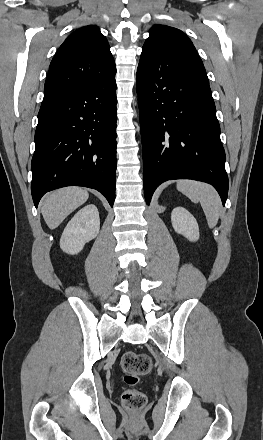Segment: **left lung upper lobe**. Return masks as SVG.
Instances as JSON below:
<instances>
[{"mask_svg": "<svg viewBox=\"0 0 263 440\" xmlns=\"http://www.w3.org/2000/svg\"><path fill=\"white\" fill-rule=\"evenodd\" d=\"M149 33L139 64L160 66L172 61L189 74L209 83L202 60L191 40L181 30L156 24Z\"/></svg>", "mask_w": 263, "mask_h": 440, "instance_id": "1", "label": "left lung upper lobe"}]
</instances>
